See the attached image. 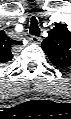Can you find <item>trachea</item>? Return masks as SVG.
I'll use <instances>...</instances> for the list:
<instances>
[{
  "instance_id": "3493384b",
  "label": "trachea",
  "mask_w": 71,
  "mask_h": 119,
  "mask_svg": "<svg viewBox=\"0 0 71 119\" xmlns=\"http://www.w3.org/2000/svg\"><path fill=\"white\" fill-rule=\"evenodd\" d=\"M30 34L39 36L40 35V29L38 26V21L35 17L31 19V27H30Z\"/></svg>"
}]
</instances>
